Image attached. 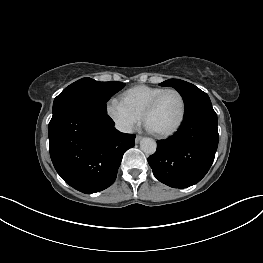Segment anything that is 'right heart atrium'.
I'll list each match as a JSON object with an SVG mask.
<instances>
[{
  "instance_id": "obj_1",
  "label": "right heart atrium",
  "mask_w": 263,
  "mask_h": 263,
  "mask_svg": "<svg viewBox=\"0 0 263 263\" xmlns=\"http://www.w3.org/2000/svg\"><path fill=\"white\" fill-rule=\"evenodd\" d=\"M106 113L116 128L124 133L132 132L141 122V116L132 112L122 101L115 98L107 102Z\"/></svg>"
}]
</instances>
